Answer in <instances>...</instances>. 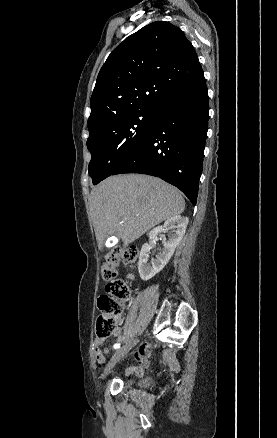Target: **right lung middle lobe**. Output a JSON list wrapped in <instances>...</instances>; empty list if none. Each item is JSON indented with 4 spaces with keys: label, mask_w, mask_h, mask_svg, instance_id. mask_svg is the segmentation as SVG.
I'll return each mask as SVG.
<instances>
[{
    "label": "right lung middle lobe",
    "mask_w": 277,
    "mask_h": 438,
    "mask_svg": "<svg viewBox=\"0 0 277 438\" xmlns=\"http://www.w3.org/2000/svg\"><path fill=\"white\" fill-rule=\"evenodd\" d=\"M156 113L148 108L114 116L89 127L87 147L91 153L89 175L96 185L115 170L142 143Z\"/></svg>",
    "instance_id": "obj_1"
}]
</instances>
